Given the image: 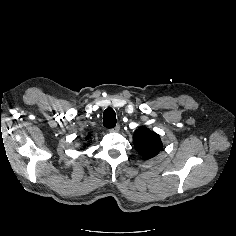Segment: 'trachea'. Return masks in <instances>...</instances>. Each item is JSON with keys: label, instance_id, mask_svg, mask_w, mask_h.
<instances>
[{"label": "trachea", "instance_id": "1", "mask_svg": "<svg viewBox=\"0 0 236 236\" xmlns=\"http://www.w3.org/2000/svg\"><path fill=\"white\" fill-rule=\"evenodd\" d=\"M116 114L112 108H107L103 114V125L106 128H114L116 126Z\"/></svg>", "mask_w": 236, "mask_h": 236}]
</instances>
